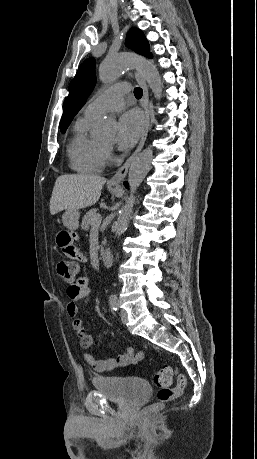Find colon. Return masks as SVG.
I'll return each mask as SVG.
<instances>
[{
  "mask_svg": "<svg viewBox=\"0 0 257 459\" xmlns=\"http://www.w3.org/2000/svg\"><path fill=\"white\" fill-rule=\"evenodd\" d=\"M58 235V234H57ZM81 264H70L60 260L57 263V274L66 282L73 283L80 272ZM173 370L170 366H163L154 377V386L158 388V401L146 408L144 415L151 416L157 413L165 404L179 397L187 386L184 375L177 376L175 387H171Z\"/></svg>",
  "mask_w": 257,
  "mask_h": 459,
  "instance_id": "obj_1",
  "label": "colon"
}]
</instances>
